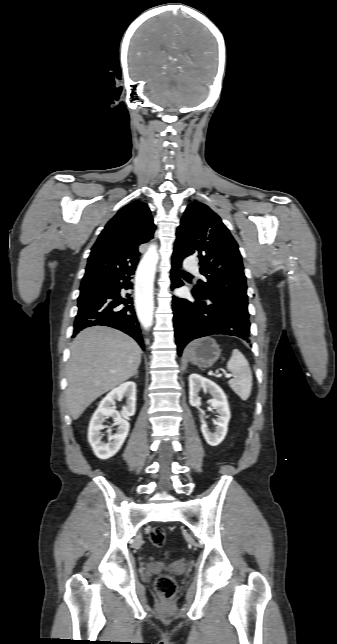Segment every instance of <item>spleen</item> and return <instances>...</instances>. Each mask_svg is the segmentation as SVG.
Listing matches in <instances>:
<instances>
[{
    "label": "spleen",
    "instance_id": "spleen-1",
    "mask_svg": "<svg viewBox=\"0 0 337 644\" xmlns=\"http://www.w3.org/2000/svg\"><path fill=\"white\" fill-rule=\"evenodd\" d=\"M227 370L234 375L228 382L229 386L242 400H247L252 389V372L245 356L238 349L232 351Z\"/></svg>",
    "mask_w": 337,
    "mask_h": 644
}]
</instances>
